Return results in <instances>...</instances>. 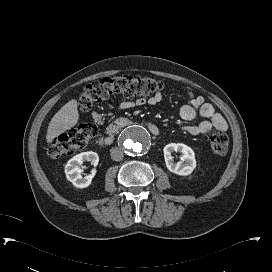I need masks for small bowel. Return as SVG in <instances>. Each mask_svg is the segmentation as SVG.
<instances>
[{"label":"small bowel","mask_w":272,"mask_h":272,"mask_svg":"<svg viewBox=\"0 0 272 272\" xmlns=\"http://www.w3.org/2000/svg\"><path fill=\"white\" fill-rule=\"evenodd\" d=\"M189 104L183 105L180 108V116L186 121L194 120L197 117L202 118V121L197 125H188L183 127V132L188 135H208L213 130L226 131L228 125L224 117L217 113L214 107L205 102L203 96H196L193 93H188ZM162 99L161 94L157 93L148 100L139 99L135 102H124L121 104L122 109H129L135 106H140L143 104L156 105Z\"/></svg>","instance_id":"obj_1"}]
</instances>
